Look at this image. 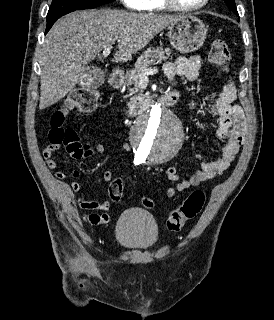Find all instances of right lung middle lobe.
I'll use <instances>...</instances> for the list:
<instances>
[{"instance_id": "obj_1", "label": "right lung middle lobe", "mask_w": 274, "mask_h": 320, "mask_svg": "<svg viewBox=\"0 0 274 320\" xmlns=\"http://www.w3.org/2000/svg\"><path fill=\"white\" fill-rule=\"evenodd\" d=\"M115 0H53L47 14V20L83 9H93Z\"/></svg>"}]
</instances>
